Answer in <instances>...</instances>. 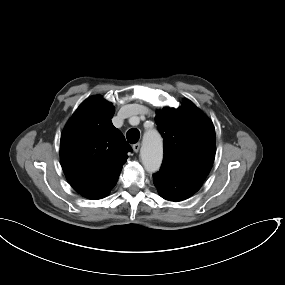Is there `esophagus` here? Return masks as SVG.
Masks as SVG:
<instances>
[{"label":"esophagus","instance_id":"esophagus-1","mask_svg":"<svg viewBox=\"0 0 285 285\" xmlns=\"http://www.w3.org/2000/svg\"><path fill=\"white\" fill-rule=\"evenodd\" d=\"M140 147H141V144H140V143H136V144H134V145L132 146L134 152H136V153L139 152Z\"/></svg>","mask_w":285,"mask_h":285}]
</instances>
